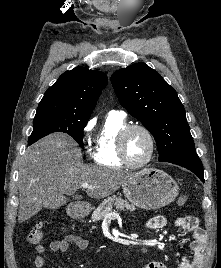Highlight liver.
I'll list each match as a JSON object with an SVG mask.
<instances>
[{
	"instance_id": "1",
	"label": "liver",
	"mask_w": 221,
	"mask_h": 268,
	"mask_svg": "<svg viewBox=\"0 0 221 268\" xmlns=\"http://www.w3.org/2000/svg\"><path fill=\"white\" fill-rule=\"evenodd\" d=\"M72 138L54 133L28 147L19 167L18 222L30 219L42 208H51L65 197L74 195L82 183L89 197L110 196L133 174L90 166L82 162V153Z\"/></svg>"
}]
</instances>
